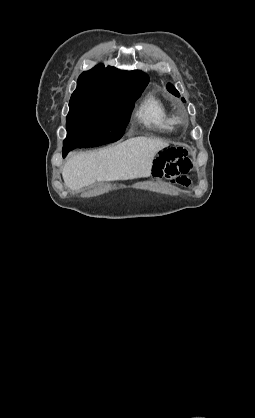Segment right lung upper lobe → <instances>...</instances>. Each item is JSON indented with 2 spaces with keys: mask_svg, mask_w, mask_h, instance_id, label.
Returning a JSON list of instances; mask_svg holds the SVG:
<instances>
[{
  "mask_svg": "<svg viewBox=\"0 0 255 418\" xmlns=\"http://www.w3.org/2000/svg\"><path fill=\"white\" fill-rule=\"evenodd\" d=\"M149 77L138 70L121 71L114 67L105 68L99 64L89 71L83 72L73 93L80 92H131L145 87Z\"/></svg>",
  "mask_w": 255,
  "mask_h": 418,
  "instance_id": "cb5924a9",
  "label": "right lung upper lobe"
}]
</instances>
